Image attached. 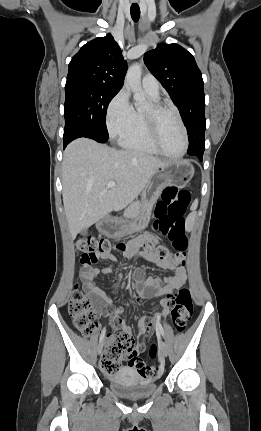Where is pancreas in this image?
<instances>
[{
    "instance_id": "1",
    "label": "pancreas",
    "mask_w": 261,
    "mask_h": 431,
    "mask_svg": "<svg viewBox=\"0 0 261 431\" xmlns=\"http://www.w3.org/2000/svg\"><path fill=\"white\" fill-rule=\"evenodd\" d=\"M141 204L139 201L131 203L124 211V217L127 219H135L140 214Z\"/></svg>"
}]
</instances>
